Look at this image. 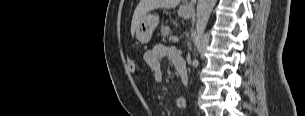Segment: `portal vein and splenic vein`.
I'll return each instance as SVG.
<instances>
[{
	"instance_id": "portal-vein-and-splenic-vein-1",
	"label": "portal vein and splenic vein",
	"mask_w": 305,
	"mask_h": 116,
	"mask_svg": "<svg viewBox=\"0 0 305 116\" xmlns=\"http://www.w3.org/2000/svg\"><path fill=\"white\" fill-rule=\"evenodd\" d=\"M170 40H172L173 42H178L179 38L176 36H172V37H170Z\"/></svg>"
}]
</instances>
